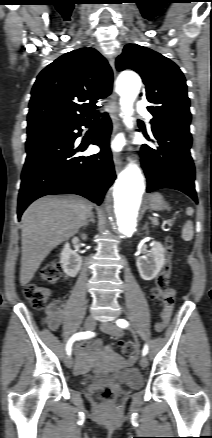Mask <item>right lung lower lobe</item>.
Listing matches in <instances>:
<instances>
[{"instance_id": "right-lung-lower-lobe-1", "label": "right lung lower lobe", "mask_w": 212, "mask_h": 438, "mask_svg": "<svg viewBox=\"0 0 212 438\" xmlns=\"http://www.w3.org/2000/svg\"><path fill=\"white\" fill-rule=\"evenodd\" d=\"M89 123L57 122L28 130L18 218L31 202L45 195L72 193L101 204L116 178L109 148L112 127L105 114L98 134L90 142L100 146L101 151L87 157L78 156L77 153L86 148H75L74 141L80 136L81 126ZM74 130H79V133Z\"/></svg>"}]
</instances>
